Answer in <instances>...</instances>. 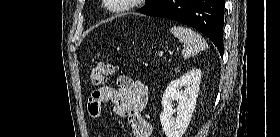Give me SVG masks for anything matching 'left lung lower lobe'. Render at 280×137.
I'll return each instance as SVG.
<instances>
[{
  "label": "left lung lower lobe",
  "mask_w": 280,
  "mask_h": 137,
  "mask_svg": "<svg viewBox=\"0 0 280 137\" xmlns=\"http://www.w3.org/2000/svg\"><path fill=\"white\" fill-rule=\"evenodd\" d=\"M225 0H163L143 14L187 24L208 37L223 55Z\"/></svg>",
  "instance_id": "obj_1"
}]
</instances>
